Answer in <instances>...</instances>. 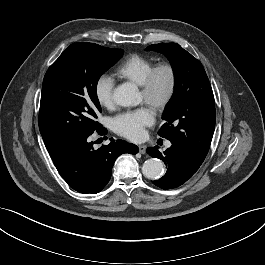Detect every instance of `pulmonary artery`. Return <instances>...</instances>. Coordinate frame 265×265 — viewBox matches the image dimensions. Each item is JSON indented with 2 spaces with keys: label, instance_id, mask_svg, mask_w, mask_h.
Returning a JSON list of instances; mask_svg holds the SVG:
<instances>
[{
  "label": "pulmonary artery",
  "instance_id": "pulmonary-artery-1",
  "mask_svg": "<svg viewBox=\"0 0 265 265\" xmlns=\"http://www.w3.org/2000/svg\"><path fill=\"white\" fill-rule=\"evenodd\" d=\"M170 145V143H167V146H169Z\"/></svg>",
  "mask_w": 265,
  "mask_h": 265
}]
</instances>
